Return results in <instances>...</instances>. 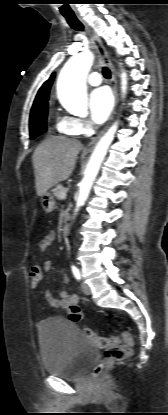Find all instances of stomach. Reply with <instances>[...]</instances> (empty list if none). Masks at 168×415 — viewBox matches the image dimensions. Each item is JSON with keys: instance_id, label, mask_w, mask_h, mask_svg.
<instances>
[{"instance_id": "stomach-1", "label": "stomach", "mask_w": 168, "mask_h": 415, "mask_svg": "<svg viewBox=\"0 0 168 415\" xmlns=\"http://www.w3.org/2000/svg\"><path fill=\"white\" fill-rule=\"evenodd\" d=\"M41 206L46 213H50L53 211L55 207V201L50 193H45L41 197Z\"/></svg>"}]
</instances>
